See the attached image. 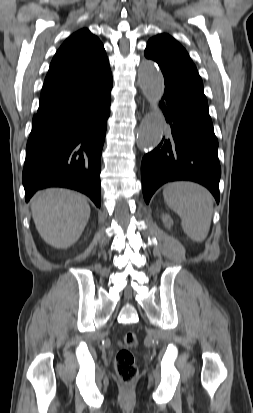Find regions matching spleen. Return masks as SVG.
<instances>
[{
	"label": "spleen",
	"mask_w": 253,
	"mask_h": 413,
	"mask_svg": "<svg viewBox=\"0 0 253 413\" xmlns=\"http://www.w3.org/2000/svg\"><path fill=\"white\" fill-rule=\"evenodd\" d=\"M164 200L176 212L187 236L202 242L208 235L213 214V196L204 187L192 182H174L165 186Z\"/></svg>",
	"instance_id": "spleen-1"
}]
</instances>
